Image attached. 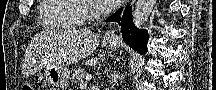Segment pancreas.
<instances>
[{
    "mask_svg": "<svg viewBox=\"0 0 216 90\" xmlns=\"http://www.w3.org/2000/svg\"><path fill=\"white\" fill-rule=\"evenodd\" d=\"M85 76V70H83V68H79V70H74L71 80L74 82V84H78L80 80H84Z\"/></svg>",
    "mask_w": 216,
    "mask_h": 90,
    "instance_id": "obj_1",
    "label": "pancreas"
}]
</instances>
